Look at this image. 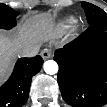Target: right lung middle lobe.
<instances>
[{"instance_id":"dd1d6c3e","label":"right lung middle lobe","mask_w":107,"mask_h":107,"mask_svg":"<svg viewBox=\"0 0 107 107\" xmlns=\"http://www.w3.org/2000/svg\"><path fill=\"white\" fill-rule=\"evenodd\" d=\"M19 13L5 4H0V28L11 29L16 25V16Z\"/></svg>"}]
</instances>
